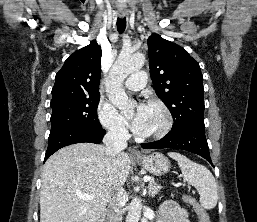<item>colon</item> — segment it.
I'll use <instances>...</instances> for the list:
<instances>
[{
  "label": "colon",
  "instance_id": "5ec220e1",
  "mask_svg": "<svg viewBox=\"0 0 257 222\" xmlns=\"http://www.w3.org/2000/svg\"><path fill=\"white\" fill-rule=\"evenodd\" d=\"M183 199L187 203H189L190 205L193 206V208L198 216L199 222H210V217H209L208 213L201 206H199L196 203V201L194 200L193 197H191L189 195H184Z\"/></svg>",
  "mask_w": 257,
  "mask_h": 222
}]
</instances>
